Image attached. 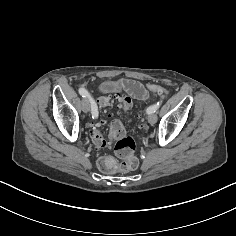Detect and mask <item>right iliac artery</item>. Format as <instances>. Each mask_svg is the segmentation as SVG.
I'll return each mask as SVG.
<instances>
[{
    "label": "right iliac artery",
    "mask_w": 236,
    "mask_h": 236,
    "mask_svg": "<svg viewBox=\"0 0 236 236\" xmlns=\"http://www.w3.org/2000/svg\"><path fill=\"white\" fill-rule=\"evenodd\" d=\"M79 94L82 97H88L89 98V100L91 102L92 117L96 118L98 116V111H97L96 103L93 101V99L90 97V95L88 94V92L84 88H79Z\"/></svg>",
    "instance_id": "right-iliac-artery-1"
}]
</instances>
